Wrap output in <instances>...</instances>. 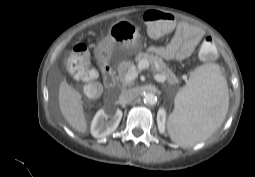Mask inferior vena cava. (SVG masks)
<instances>
[{
    "label": "inferior vena cava",
    "instance_id": "inferior-vena-cava-1",
    "mask_svg": "<svg viewBox=\"0 0 255 177\" xmlns=\"http://www.w3.org/2000/svg\"><path fill=\"white\" fill-rule=\"evenodd\" d=\"M139 96V92L136 89H129L124 91L120 97L119 101L122 104H129L134 101Z\"/></svg>",
    "mask_w": 255,
    "mask_h": 177
}]
</instances>
